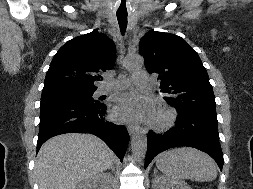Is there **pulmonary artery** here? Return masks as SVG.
I'll list each match as a JSON object with an SVG mask.
<instances>
[{
  "instance_id": "1",
  "label": "pulmonary artery",
  "mask_w": 253,
  "mask_h": 189,
  "mask_svg": "<svg viewBox=\"0 0 253 189\" xmlns=\"http://www.w3.org/2000/svg\"><path fill=\"white\" fill-rule=\"evenodd\" d=\"M133 80L136 84L140 86H147L149 83V76L146 73H136L133 76ZM128 81L125 79H121L116 82L106 81L102 84V86L98 89V95L108 94L113 90H120L127 85Z\"/></svg>"
}]
</instances>
